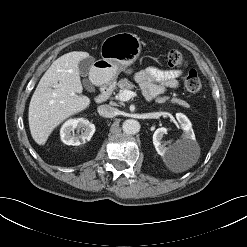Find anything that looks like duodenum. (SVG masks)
Wrapping results in <instances>:
<instances>
[{"label": "duodenum", "instance_id": "duodenum-1", "mask_svg": "<svg viewBox=\"0 0 247 247\" xmlns=\"http://www.w3.org/2000/svg\"><path fill=\"white\" fill-rule=\"evenodd\" d=\"M112 93V87L110 85H104L102 86L99 94L96 97V102L97 103H104L108 100Z\"/></svg>", "mask_w": 247, "mask_h": 247}]
</instances>
